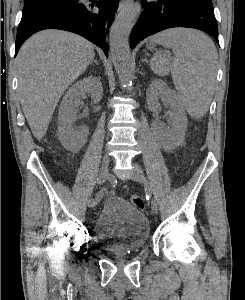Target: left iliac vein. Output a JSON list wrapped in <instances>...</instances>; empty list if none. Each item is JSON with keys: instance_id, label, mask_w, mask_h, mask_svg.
<instances>
[{"instance_id": "left-iliac-vein-1", "label": "left iliac vein", "mask_w": 245, "mask_h": 300, "mask_svg": "<svg viewBox=\"0 0 245 300\" xmlns=\"http://www.w3.org/2000/svg\"><path fill=\"white\" fill-rule=\"evenodd\" d=\"M131 179L135 182L145 183V177L143 171L138 165H134V169L131 174ZM151 209L154 214H157L158 206L155 200L151 201Z\"/></svg>"}]
</instances>
